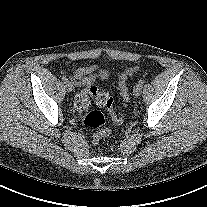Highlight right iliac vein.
I'll use <instances>...</instances> for the list:
<instances>
[{
    "instance_id": "obj_1",
    "label": "right iliac vein",
    "mask_w": 207,
    "mask_h": 207,
    "mask_svg": "<svg viewBox=\"0 0 207 207\" xmlns=\"http://www.w3.org/2000/svg\"><path fill=\"white\" fill-rule=\"evenodd\" d=\"M65 87H66L68 92H72L74 90V86H73V84L70 81H67L65 83Z\"/></svg>"
}]
</instances>
